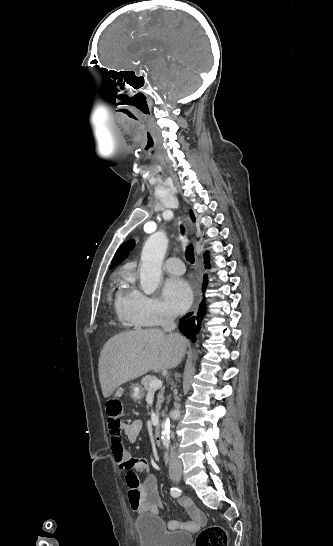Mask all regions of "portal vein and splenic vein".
<instances>
[{
  "mask_svg": "<svg viewBox=\"0 0 333 546\" xmlns=\"http://www.w3.org/2000/svg\"><path fill=\"white\" fill-rule=\"evenodd\" d=\"M161 387H162V381L156 378L151 381L149 390H157Z\"/></svg>",
  "mask_w": 333,
  "mask_h": 546,
  "instance_id": "18ae733b",
  "label": "portal vein and splenic vein"
}]
</instances>
